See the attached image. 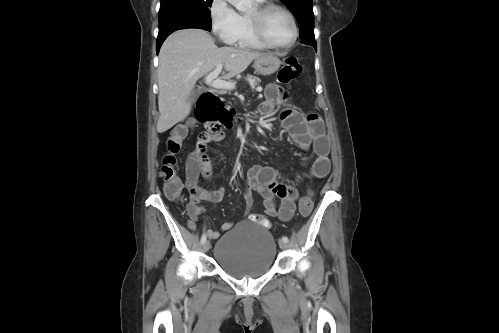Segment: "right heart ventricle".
<instances>
[{"label":"right heart ventricle","mask_w":499,"mask_h":333,"mask_svg":"<svg viewBox=\"0 0 499 333\" xmlns=\"http://www.w3.org/2000/svg\"><path fill=\"white\" fill-rule=\"evenodd\" d=\"M256 1L262 3L265 0H256ZM240 19H241L240 29L233 44L241 48L257 49V50L267 49L268 47L264 45L253 33L248 16L242 14L240 15Z\"/></svg>","instance_id":"e07e8e85"}]
</instances>
